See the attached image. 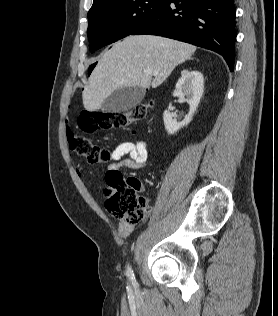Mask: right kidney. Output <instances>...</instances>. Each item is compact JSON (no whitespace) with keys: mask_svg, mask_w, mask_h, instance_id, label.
<instances>
[{"mask_svg":"<svg viewBox=\"0 0 278 316\" xmlns=\"http://www.w3.org/2000/svg\"><path fill=\"white\" fill-rule=\"evenodd\" d=\"M204 92V78L199 71H189L183 70L181 72V77L178 80L175 90L173 92L174 97H184L186 96V102L189 104V113L185 116L182 122H177L173 115L165 110L163 113V121L165 129L168 134H174L179 129L187 126L200 103V99Z\"/></svg>","mask_w":278,"mask_h":316,"instance_id":"right-kidney-1","label":"right kidney"}]
</instances>
